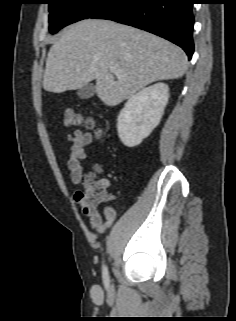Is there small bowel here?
<instances>
[{
	"mask_svg": "<svg viewBox=\"0 0 236 321\" xmlns=\"http://www.w3.org/2000/svg\"><path fill=\"white\" fill-rule=\"evenodd\" d=\"M93 134L82 130H76L68 135L70 142V156L67 161L70 180L73 184L78 185L84 179L82 161L86 159V146L93 141ZM103 188L107 191L110 187V181L106 178L98 180ZM109 198H112L109 196ZM74 200L81 206L82 212L89 218V226L97 231H104L108 228L116 217V212L111 206H104L100 212L97 206L83 200L75 192Z\"/></svg>",
	"mask_w": 236,
	"mask_h": 321,
	"instance_id": "1",
	"label": "small bowel"
}]
</instances>
